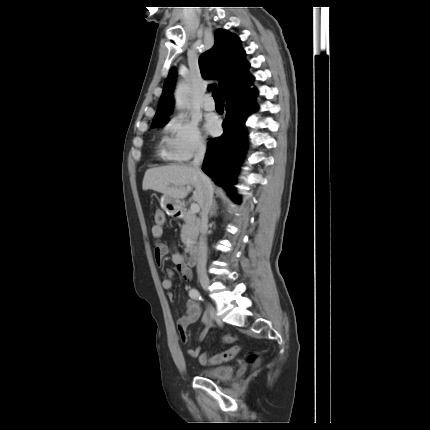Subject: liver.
Returning <instances> with one entry per match:
<instances>
[{"label": "liver", "instance_id": "1", "mask_svg": "<svg viewBox=\"0 0 430 430\" xmlns=\"http://www.w3.org/2000/svg\"><path fill=\"white\" fill-rule=\"evenodd\" d=\"M195 187L193 200L201 205L203 186L197 169L188 165H166L148 169L145 172L142 189L154 190L166 194L172 199H183L187 196L184 186Z\"/></svg>", "mask_w": 430, "mask_h": 430}]
</instances>
